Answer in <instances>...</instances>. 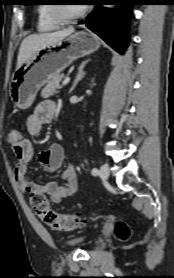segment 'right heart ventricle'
<instances>
[{
    "label": "right heart ventricle",
    "mask_w": 174,
    "mask_h": 278,
    "mask_svg": "<svg viewBox=\"0 0 174 278\" xmlns=\"http://www.w3.org/2000/svg\"><path fill=\"white\" fill-rule=\"evenodd\" d=\"M51 4H40L37 7V28L40 32L53 31L61 25L51 14Z\"/></svg>",
    "instance_id": "1"
}]
</instances>
